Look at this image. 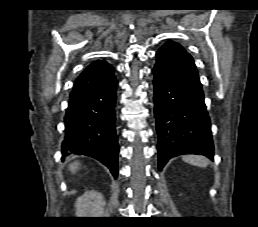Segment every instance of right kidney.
I'll return each instance as SVG.
<instances>
[{
	"instance_id": "1",
	"label": "right kidney",
	"mask_w": 258,
	"mask_h": 227,
	"mask_svg": "<svg viewBox=\"0 0 258 227\" xmlns=\"http://www.w3.org/2000/svg\"><path fill=\"white\" fill-rule=\"evenodd\" d=\"M106 202L103 195L95 190L86 191L75 203L77 217H102Z\"/></svg>"
}]
</instances>
